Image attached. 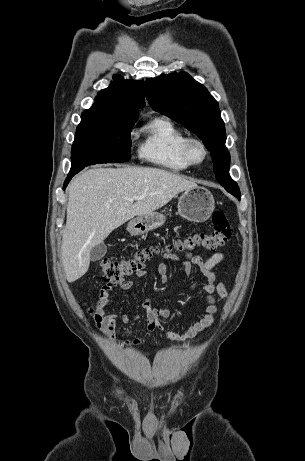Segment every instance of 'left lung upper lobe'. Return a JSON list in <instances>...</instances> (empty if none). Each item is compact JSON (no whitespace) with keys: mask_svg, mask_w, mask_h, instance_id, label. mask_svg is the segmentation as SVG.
I'll use <instances>...</instances> for the list:
<instances>
[{"mask_svg":"<svg viewBox=\"0 0 305 461\" xmlns=\"http://www.w3.org/2000/svg\"><path fill=\"white\" fill-rule=\"evenodd\" d=\"M146 98L153 110L183 124L211 152L217 181L240 200L239 187L229 175L230 155L217 101L185 73L162 75L146 81Z\"/></svg>","mask_w":305,"mask_h":461,"instance_id":"5c2ea615","label":"left lung upper lobe"}]
</instances>
